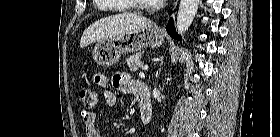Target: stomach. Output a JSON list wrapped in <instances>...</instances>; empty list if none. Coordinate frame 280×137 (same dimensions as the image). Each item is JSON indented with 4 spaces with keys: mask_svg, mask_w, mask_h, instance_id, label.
Segmentation results:
<instances>
[{
    "mask_svg": "<svg viewBox=\"0 0 280 137\" xmlns=\"http://www.w3.org/2000/svg\"><path fill=\"white\" fill-rule=\"evenodd\" d=\"M164 38V32L152 23L111 39L100 41L93 49V59L98 65L112 66L117 63L121 54L140 51L145 47H159Z\"/></svg>",
    "mask_w": 280,
    "mask_h": 137,
    "instance_id": "0dacf381",
    "label": "stomach"
}]
</instances>
